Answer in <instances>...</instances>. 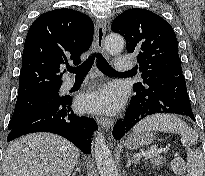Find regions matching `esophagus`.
Returning <instances> with one entry per match:
<instances>
[{"mask_svg": "<svg viewBox=\"0 0 205 176\" xmlns=\"http://www.w3.org/2000/svg\"><path fill=\"white\" fill-rule=\"evenodd\" d=\"M106 33V22L98 20L96 22V38H95V44L97 47V50L102 53L104 56H107V53L105 51L104 47V37ZM96 122L98 125L103 126L107 129L111 128L114 124L113 119H107L104 117L97 116Z\"/></svg>", "mask_w": 205, "mask_h": 176, "instance_id": "obj_1", "label": "esophagus"}]
</instances>
